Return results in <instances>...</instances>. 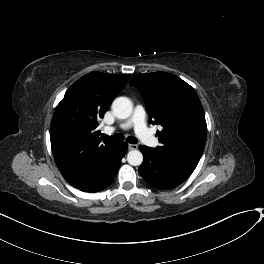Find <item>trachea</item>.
<instances>
[{
  "label": "trachea",
  "instance_id": "obj_1",
  "mask_svg": "<svg viewBox=\"0 0 264 264\" xmlns=\"http://www.w3.org/2000/svg\"><path fill=\"white\" fill-rule=\"evenodd\" d=\"M105 138H109L111 140H115V141H122L124 140V136L122 134H114L112 136H107L105 135ZM126 141L128 143H131V144H136L138 142V139L133 137V136H129L126 138Z\"/></svg>",
  "mask_w": 264,
  "mask_h": 264
}]
</instances>
